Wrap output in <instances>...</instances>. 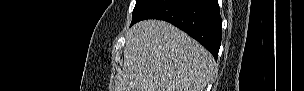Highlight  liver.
<instances>
[{"label":"liver","mask_w":304,"mask_h":91,"mask_svg":"<svg viewBox=\"0 0 304 91\" xmlns=\"http://www.w3.org/2000/svg\"><path fill=\"white\" fill-rule=\"evenodd\" d=\"M124 67L115 91H203L216 64L203 46L175 26L145 20L127 34Z\"/></svg>","instance_id":"obj_1"}]
</instances>
